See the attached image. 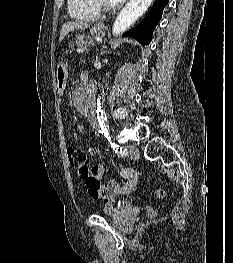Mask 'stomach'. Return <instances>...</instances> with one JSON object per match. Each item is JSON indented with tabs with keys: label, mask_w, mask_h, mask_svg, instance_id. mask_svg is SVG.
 I'll return each mask as SVG.
<instances>
[{
	"label": "stomach",
	"mask_w": 233,
	"mask_h": 263,
	"mask_svg": "<svg viewBox=\"0 0 233 263\" xmlns=\"http://www.w3.org/2000/svg\"><path fill=\"white\" fill-rule=\"evenodd\" d=\"M91 34L95 37H103L105 35V26L97 24L90 30ZM73 44H70L69 47L73 49ZM67 78H68V69L67 65L60 63L56 71L57 86L59 91H64L67 88Z\"/></svg>",
	"instance_id": "stomach-1"
}]
</instances>
